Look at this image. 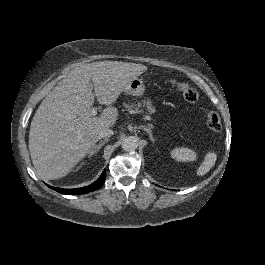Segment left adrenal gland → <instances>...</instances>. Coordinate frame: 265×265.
Masks as SVG:
<instances>
[{"instance_id": "a2214340", "label": "left adrenal gland", "mask_w": 265, "mask_h": 265, "mask_svg": "<svg viewBox=\"0 0 265 265\" xmlns=\"http://www.w3.org/2000/svg\"><path fill=\"white\" fill-rule=\"evenodd\" d=\"M151 125L150 124H147V125H139L138 128H141L143 129L146 133H148L149 135V138L151 141H154V138L152 136V133H151Z\"/></svg>"}]
</instances>
